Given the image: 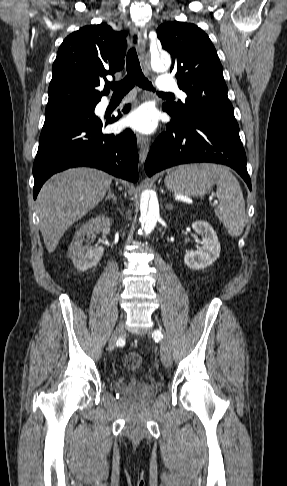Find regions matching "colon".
Masks as SVG:
<instances>
[{"label":"colon","instance_id":"colon-1","mask_svg":"<svg viewBox=\"0 0 287 486\" xmlns=\"http://www.w3.org/2000/svg\"><path fill=\"white\" fill-rule=\"evenodd\" d=\"M141 363L142 358L136 352H127L123 356V364L128 369L135 370L140 367Z\"/></svg>","mask_w":287,"mask_h":486}]
</instances>
